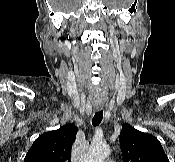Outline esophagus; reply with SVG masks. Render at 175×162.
I'll list each match as a JSON object with an SVG mask.
<instances>
[{
	"mask_svg": "<svg viewBox=\"0 0 175 162\" xmlns=\"http://www.w3.org/2000/svg\"><path fill=\"white\" fill-rule=\"evenodd\" d=\"M97 111H100L102 108L101 107H96L95 108Z\"/></svg>",
	"mask_w": 175,
	"mask_h": 162,
	"instance_id": "obj_1",
	"label": "esophagus"
}]
</instances>
